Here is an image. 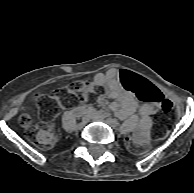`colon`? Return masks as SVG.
I'll return each instance as SVG.
<instances>
[{
	"mask_svg": "<svg viewBox=\"0 0 194 193\" xmlns=\"http://www.w3.org/2000/svg\"><path fill=\"white\" fill-rule=\"evenodd\" d=\"M119 79L123 86L133 91L141 102L158 104L159 109L166 115L172 112L173 105L171 101L157 93L146 79L127 70L120 72ZM68 87L72 91L80 92L84 97H90L92 93V84L90 82H72ZM61 106V100L55 98L53 107L58 110ZM18 122L24 129L26 137L42 149L53 148L59 139V135L52 125L46 123L35 124L27 112H22L19 115ZM154 132H159L158 124L155 125ZM127 147L132 152L141 151L139 143L133 138L128 139Z\"/></svg>",
	"mask_w": 194,
	"mask_h": 193,
	"instance_id": "1",
	"label": "colon"
}]
</instances>
